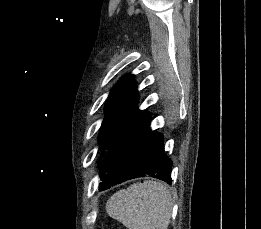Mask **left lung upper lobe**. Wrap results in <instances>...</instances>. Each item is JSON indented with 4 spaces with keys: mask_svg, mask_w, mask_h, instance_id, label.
<instances>
[{
    "mask_svg": "<svg viewBox=\"0 0 261 229\" xmlns=\"http://www.w3.org/2000/svg\"><path fill=\"white\" fill-rule=\"evenodd\" d=\"M133 75L124 76L112 89L105 106L106 117L99 134L103 149H110L143 111L137 108L138 95Z\"/></svg>",
    "mask_w": 261,
    "mask_h": 229,
    "instance_id": "obj_1",
    "label": "left lung upper lobe"
}]
</instances>
